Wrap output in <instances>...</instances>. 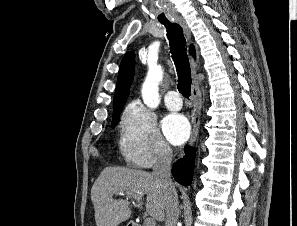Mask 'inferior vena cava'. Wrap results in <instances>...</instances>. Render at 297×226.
Here are the masks:
<instances>
[{
    "mask_svg": "<svg viewBox=\"0 0 297 226\" xmlns=\"http://www.w3.org/2000/svg\"><path fill=\"white\" fill-rule=\"evenodd\" d=\"M172 149L169 145L160 146L153 166V176L156 177L165 189V226H176L179 216V202L175 186L171 179Z\"/></svg>",
    "mask_w": 297,
    "mask_h": 226,
    "instance_id": "602c4592",
    "label": "inferior vena cava"
}]
</instances>
